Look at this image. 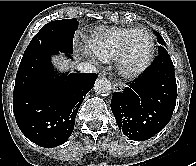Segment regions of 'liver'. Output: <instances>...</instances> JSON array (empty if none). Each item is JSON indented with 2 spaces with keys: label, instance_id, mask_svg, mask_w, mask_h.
Wrapping results in <instances>:
<instances>
[{
  "label": "liver",
  "instance_id": "obj_1",
  "mask_svg": "<svg viewBox=\"0 0 196 166\" xmlns=\"http://www.w3.org/2000/svg\"><path fill=\"white\" fill-rule=\"evenodd\" d=\"M52 63L59 71H66L72 65V63L69 60H66L64 56L57 55L52 57Z\"/></svg>",
  "mask_w": 196,
  "mask_h": 166
}]
</instances>
